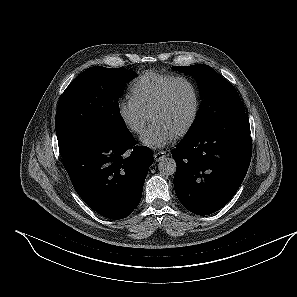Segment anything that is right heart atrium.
I'll return each mask as SVG.
<instances>
[{"instance_id":"right-heart-atrium-1","label":"right heart atrium","mask_w":297,"mask_h":297,"mask_svg":"<svg viewBox=\"0 0 297 297\" xmlns=\"http://www.w3.org/2000/svg\"><path fill=\"white\" fill-rule=\"evenodd\" d=\"M117 114L123 126L132 134L140 135L146 126L148 114L132 97L120 98Z\"/></svg>"}]
</instances>
